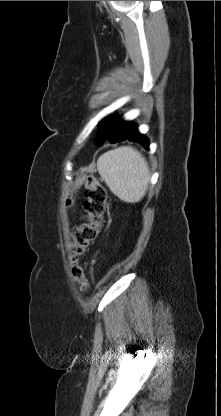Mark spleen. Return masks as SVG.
<instances>
[{"label":"spleen","mask_w":221,"mask_h":416,"mask_svg":"<svg viewBox=\"0 0 221 416\" xmlns=\"http://www.w3.org/2000/svg\"><path fill=\"white\" fill-rule=\"evenodd\" d=\"M97 169L110 190L128 203L139 202L150 180L147 161L131 146H121L102 154Z\"/></svg>","instance_id":"spleen-1"}]
</instances>
